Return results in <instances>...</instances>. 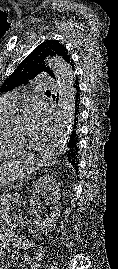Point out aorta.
I'll return each mask as SVG.
<instances>
[{
  "label": "aorta",
  "mask_w": 118,
  "mask_h": 269,
  "mask_svg": "<svg viewBox=\"0 0 118 269\" xmlns=\"http://www.w3.org/2000/svg\"><path fill=\"white\" fill-rule=\"evenodd\" d=\"M47 64L57 78L59 89V110L51 140L43 156V164H54L62 154L70 133L74 107V75L71 68L60 57H49Z\"/></svg>",
  "instance_id": "obj_1"
}]
</instances>
